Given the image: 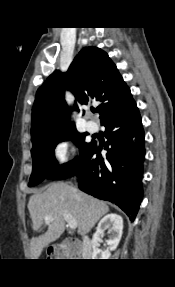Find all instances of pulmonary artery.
<instances>
[{
  "label": "pulmonary artery",
  "instance_id": "pulmonary-artery-1",
  "mask_svg": "<svg viewBox=\"0 0 175 287\" xmlns=\"http://www.w3.org/2000/svg\"><path fill=\"white\" fill-rule=\"evenodd\" d=\"M86 129L90 133H95L98 129V126L94 121L89 120L86 122Z\"/></svg>",
  "mask_w": 175,
  "mask_h": 287
}]
</instances>
